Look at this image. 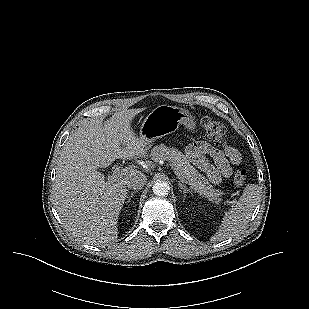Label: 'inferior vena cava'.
Instances as JSON below:
<instances>
[{
    "label": "inferior vena cava",
    "instance_id": "obj_1",
    "mask_svg": "<svg viewBox=\"0 0 309 309\" xmlns=\"http://www.w3.org/2000/svg\"><path fill=\"white\" fill-rule=\"evenodd\" d=\"M147 182L146 176L141 173H135L126 180V186L131 189H141Z\"/></svg>",
    "mask_w": 309,
    "mask_h": 309
}]
</instances>
